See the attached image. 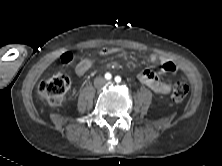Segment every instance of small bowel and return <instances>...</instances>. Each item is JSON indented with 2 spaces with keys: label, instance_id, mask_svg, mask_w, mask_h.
I'll use <instances>...</instances> for the list:
<instances>
[{
  "label": "small bowel",
  "instance_id": "small-bowel-1",
  "mask_svg": "<svg viewBox=\"0 0 222 166\" xmlns=\"http://www.w3.org/2000/svg\"><path fill=\"white\" fill-rule=\"evenodd\" d=\"M122 53L123 50L119 48H104L100 51V55L102 56H111ZM149 61L153 64L160 63L162 72L164 73H175L177 71V66L174 62L166 57H161L156 53L149 55ZM92 66V59L84 58L76 64L75 73L77 76H83L89 69L92 68ZM137 78L142 84L146 85L157 94H167L171 90V85L161 80L159 75L152 71L141 70L137 73Z\"/></svg>",
  "mask_w": 222,
  "mask_h": 166
}]
</instances>
